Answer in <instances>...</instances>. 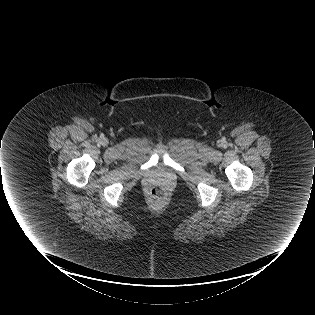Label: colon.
Here are the masks:
<instances>
[{"label":"colon","instance_id":"1","mask_svg":"<svg viewBox=\"0 0 315 315\" xmlns=\"http://www.w3.org/2000/svg\"><path fill=\"white\" fill-rule=\"evenodd\" d=\"M167 193L161 186H154L150 190V197L155 202H162L166 199Z\"/></svg>","mask_w":315,"mask_h":315}]
</instances>
